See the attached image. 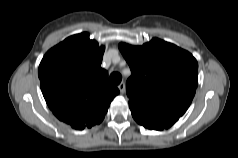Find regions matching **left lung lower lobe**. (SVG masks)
Listing matches in <instances>:
<instances>
[{"label": "left lung lower lobe", "mask_w": 238, "mask_h": 158, "mask_svg": "<svg viewBox=\"0 0 238 158\" xmlns=\"http://www.w3.org/2000/svg\"><path fill=\"white\" fill-rule=\"evenodd\" d=\"M133 118L137 123L145 128L153 130H163L169 128L178 121L180 116H147L131 111Z\"/></svg>", "instance_id": "obj_1"}]
</instances>
